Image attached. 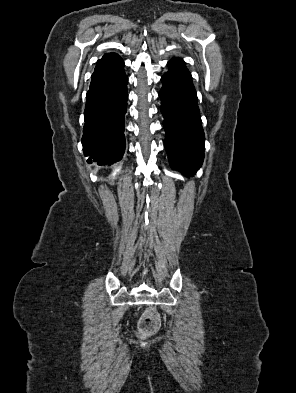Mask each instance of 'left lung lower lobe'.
Instances as JSON below:
<instances>
[{
	"mask_svg": "<svg viewBox=\"0 0 296 393\" xmlns=\"http://www.w3.org/2000/svg\"><path fill=\"white\" fill-rule=\"evenodd\" d=\"M168 67L169 71L161 78L163 86L159 92L165 149L173 169L192 175L202 165L205 145L197 94L182 59L173 58Z\"/></svg>",
	"mask_w": 296,
	"mask_h": 393,
	"instance_id": "1",
	"label": "left lung lower lobe"
}]
</instances>
